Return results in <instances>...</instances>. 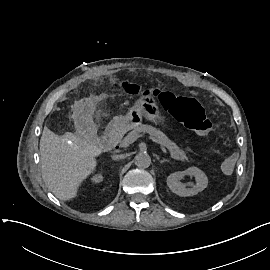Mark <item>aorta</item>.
Wrapping results in <instances>:
<instances>
[{
	"label": "aorta",
	"instance_id": "aorta-1",
	"mask_svg": "<svg viewBox=\"0 0 270 270\" xmlns=\"http://www.w3.org/2000/svg\"><path fill=\"white\" fill-rule=\"evenodd\" d=\"M135 165L139 168H148L151 164V157L146 152L138 153L135 158Z\"/></svg>",
	"mask_w": 270,
	"mask_h": 270
}]
</instances>
